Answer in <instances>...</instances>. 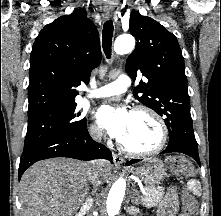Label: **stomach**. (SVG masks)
Returning a JSON list of instances; mask_svg holds the SVG:
<instances>
[{"label":"stomach","instance_id":"0dacf381","mask_svg":"<svg viewBox=\"0 0 221 216\" xmlns=\"http://www.w3.org/2000/svg\"><path fill=\"white\" fill-rule=\"evenodd\" d=\"M133 173L147 186L159 185L166 176V168L161 160L153 158L133 169Z\"/></svg>","mask_w":221,"mask_h":216}]
</instances>
